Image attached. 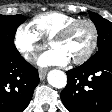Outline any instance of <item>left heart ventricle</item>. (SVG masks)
Listing matches in <instances>:
<instances>
[{
	"instance_id": "obj_1",
	"label": "left heart ventricle",
	"mask_w": 112,
	"mask_h": 112,
	"mask_svg": "<svg viewBox=\"0 0 112 112\" xmlns=\"http://www.w3.org/2000/svg\"><path fill=\"white\" fill-rule=\"evenodd\" d=\"M92 32L87 24L78 25L64 40L52 42L51 47L62 51L69 60L81 57L90 45Z\"/></svg>"
}]
</instances>
